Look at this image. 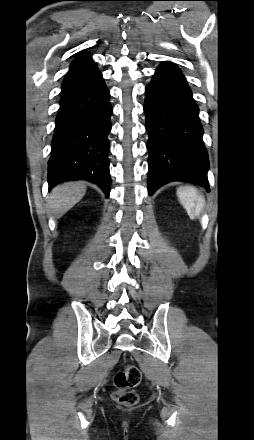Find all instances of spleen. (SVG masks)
I'll return each mask as SVG.
<instances>
[{"label": "spleen", "instance_id": "spleen-1", "mask_svg": "<svg viewBox=\"0 0 254 440\" xmlns=\"http://www.w3.org/2000/svg\"><path fill=\"white\" fill-rule=\"evenodd\" d=\"M177 196L190 219H195L200 215L204 207V199L195 188L180 187L177 189Z\"/></svg>", "mask_w": 254, "mask_h": 440}]
</instances>
